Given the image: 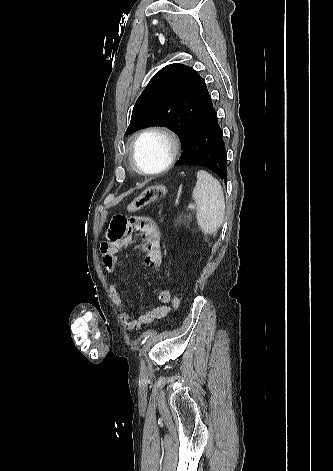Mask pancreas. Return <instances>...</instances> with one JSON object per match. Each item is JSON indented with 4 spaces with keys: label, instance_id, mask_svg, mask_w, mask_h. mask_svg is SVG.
Returning <instances> with one entry per match:
<instances>
[{
    "label": "pancreas",
    "instance_id": "cf45deb5",
    "mask_svg": "<svg viewBox=\"0 0 333 471\" xmlns=\"http://www.w3.org/2000/svg\"><path fill=\"white\" fill-rule=\"evenodd\" d=\"M192 220V217L191 216H188V215H180L178 218H177V223H181V224H189Z\"/></svg>",
    "mask_w": 333,
    "mask_h": 471
}]
</instances>
